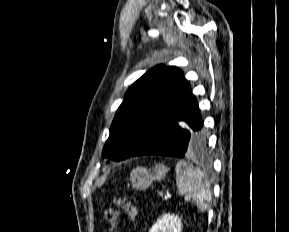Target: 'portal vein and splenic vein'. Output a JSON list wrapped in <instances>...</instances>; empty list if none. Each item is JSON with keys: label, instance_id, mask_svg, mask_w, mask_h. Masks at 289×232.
<instances>
[{"label": "portal vein and splenic vein", "instance_id": "18ae733b", "mask_svg": "<svg viewBox=\"0 0 289 232\" xmlns=\"http://www.w3.org/2000/svg\"><path fill=\"white\" fill-rule=\"evenodd\" d=\"M172 196H173V194L167 193V194L163 197V200H168V199H170Z\"/></svg>", "mask_w": 289, "mask_h": 232}]
</instances>
